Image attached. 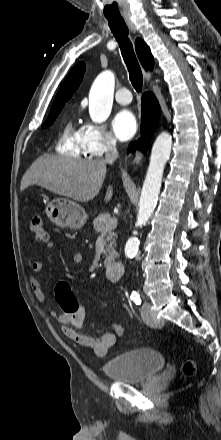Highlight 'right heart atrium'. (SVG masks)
<instances>
[{
  "label": "right heart atrium",
  "instance_id": "d8ad5b80",
  "mask_svg": "<svg viewBox=\"0 0 221 440\" xmlns=\"http://www.w3.org/2000/svg\"><path fill=\"white\" fill-rule=\"evenodd\" d=\"M86 151L92 156H102L116 150L117 143L107 128L97 123H86L82 127Z\"/></svg>",
  "mask_w": 221,
  "mask_h": 440
}]
</instances>
